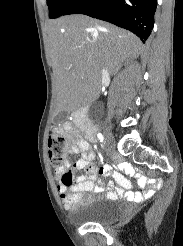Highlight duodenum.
Wrapping results in <instances>:
<instances>
[{
  "label": "duodenum",
  "mask_w": 183,
  "mask_h": 246,
  "mask_svg": "<svg viewBox=\"0 0 183 246\" xmlns=\"http://www.w3.org/2000/svg\"><path fill=\"white\" fill-rule=\"evenodd\" d=\"M72 116L77 125H79L85 132L88 139L93 140L95 137L96 127L87 117L86 106L78 109L77 111H72Z\"/></svg>",
  "instance_id": "obj_1"
}]
</instances>
